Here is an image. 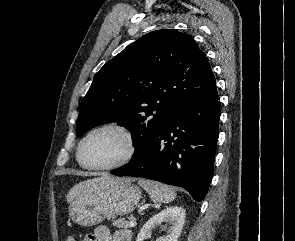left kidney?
Wrapping results in <instances>:
<instances>
[{
	"instance_id": "1",
	"label": "left kidney",
	"mask_w": 295,
	"mask_h": 241,
	"mask_svg": "<svg viewBox=\"0 0 295 241\" xmlns=\"http://www.w3.org/2000/svg\"><path fill=\"white\" fill-rule=\"evenodd\" d=\"M185 220V210L182 207L172 206L162 210L150 218L141 228L136 241H143L151 235L152 230L165 222L170 225L167 235L160 241H178Z\"/></svg>"
}]
</instances>
